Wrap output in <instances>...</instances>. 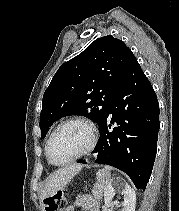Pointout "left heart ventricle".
Masks as SVG:
<instances>
[{
  "label": "left heart ventricle",
  "instance_id": "left-heart-ventricle-1",
  "mask_svg": "<svg viewBox=\"0 0 179 211\" xmlns=\"http://www.w3.org/2000/svg\"><path fill=\"white\" fill-rule=\"evenodd\" d=\"M89 142V131L80 123L63 126L54 136L50 145V155L57 163L73 158Z\"/></svg>",
  "mask_w": 179,
  "mask_h": 211
}]
</instances>
